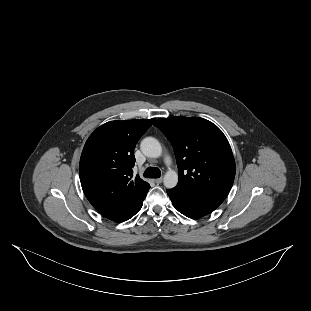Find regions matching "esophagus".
Instances as JSON below:
<instances>
[{"instance_id":"obj_1","label":"esophagus","mask_w":311,"mask_h":311,"mask_svg":"<svg viewBox=\"0 0 311 311\" xmlns=\"http://www.w3.org/2000/svg\"><path fill=\"white\" fill-rule=\"evenodd\" d=\"M156 184H160L163 181V178H158L154 180Z\"/></svg>"}]
</instances>
